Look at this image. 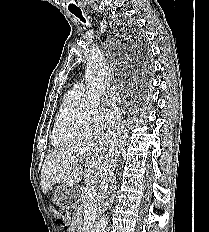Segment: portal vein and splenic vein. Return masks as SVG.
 Listing matches in <instances>:
<instances>
[{
    "label": "portal vein and splenic vein",
    "instance_id": "obj_1",
    "mask_svg": "<svg viewBox=\"0 0 209 232\" xmlns=\"http://www.w3.org/2000/svg\"><path fill=\"white\" fill-rule=\"evenodd\" d=\"M87 192H88V197L92 199L97 193L96 186L91 185Z\"/></svg>",
    "mask_w": 209,
    "mask_h": 232
}]
</instances>
